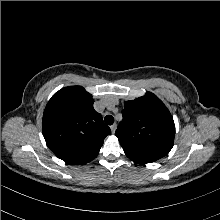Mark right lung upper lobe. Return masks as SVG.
<instances>
[{"label": "right lung upper lobe", "instance_id": "cb5924a9", "mask_svg": "<svg viewBox=\"0 0 220 220\" xmlns=\"http://www.w3.org/2000/svg\"><path fill=\"white\" fill-rule=\"evenodd\" d=\"M93 102L83 87L69 86L56 92L46 105L42 121L45 141L67 163L81 165L93 160L111 133Z\"/></svg>", "mask_w": 220, "mask_h": 220}]
</instances>
